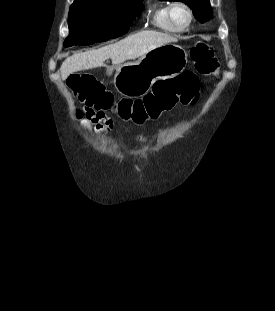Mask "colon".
I'll return each mask as SVG.
<instances>
[{
  "instance_id": "colon-1",
  "label": "colon",
  "mask_w": 275,
  "mask_h": 311,
  "mask_svg": "<svg viewBox=\"0 0 275 311\" xmlns=\"http://www.w3.org/2000/svg\"><path fill=\"white\" fill-rule=\"evenodd\" d=\"M191 58L197 72L201 75H213L219 68L214 49L200 42L191 49ZM68 85L76 99L86 107L97 111L114 108L125 120L139 123L140 129L146 128V121H158L159 116L177 104L191 105L197 100L199 80L197 75L184 72L172 79L159 81L151 92L142 99L115 100L105 86L89 74H72Z\"/></svg>"
}]
</instances>
